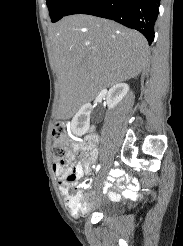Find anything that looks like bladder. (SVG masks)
Masks as SVG:
<instances>
[{
  "label": "bladder",
  "mask_w": 183,
  "mask_h": 246,
  "mask_svg": "<svg viewBox=\"0 0 183 246\" xmlns=\"http://www.w3.org/2000/svg\"><path fill=\"white\" fill-rule=\"evenodd\" d=\"M95 211L98 213H101L104 216H108V215H114L118 212L117 207L113 206L110 203H106V202H98L96 204L95 207Z\"/></svg>",
  "instance_id": "1"
}]
</instances>
